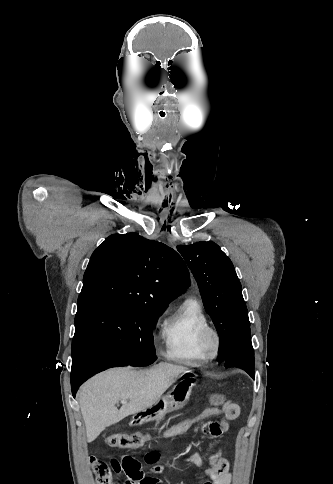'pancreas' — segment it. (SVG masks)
I'll return each instance as SVG.
<instances>
[{"instance_id":"cf45deb5","label":"pancreas","mask_w":333,"mask_h":484,"mask_svg":"<svg viewBox=\"0 0 333 484\" xmlns=\"http://www.w3.org/2000/svg\"><path fill=\"white\" fill-rule=\"evenodd\" d=\"M164 414H158L153 419L156 420V425L159 424L161 420H163Z\"/></svg>"}]
</instances>
